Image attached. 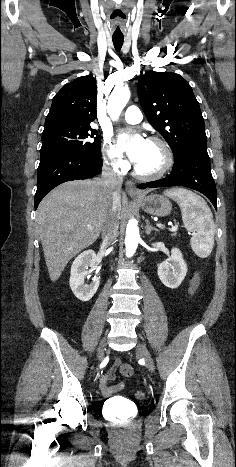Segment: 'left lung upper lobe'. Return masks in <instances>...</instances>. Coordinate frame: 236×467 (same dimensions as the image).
Segmentation results:
<instances>
[{
    "label": "left lung upper lobe",
    "instance_id": "5c2ea615",
    "mask_svg": "<svg viewBox=\"0 0 236 467\" xmlns=\"http://www.w3.org/2000/svg\"><path fill=\"white\" fill-rule=\"evenodd\" d=\"M137 92L149 123L167 141L174 159L189 146L207 143L199 103L179 74L150 71L139 79Z\"/></svg>",
    "mask_w": 236,
    "mask_h": 467
}]
</instances>
